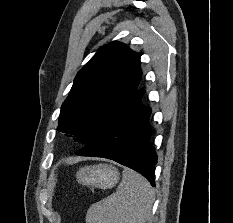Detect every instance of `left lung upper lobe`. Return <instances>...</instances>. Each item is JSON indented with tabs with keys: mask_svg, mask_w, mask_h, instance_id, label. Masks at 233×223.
<instances>
[{
	"mask_svg": "<svg viewBox=\"0 0 233 223\" xmlns=\"http://www.w3.org/2000/svg\"><path fill=\"white\" fill-rule=\"evenodd\" d=\"M140 57L120 42L101 47L76 75L57 130L89 144L137 92L142 75Z\"/></svg>",
	"mask_w": 233,
	"mask_h": 223,
	"instance_id": "obj_1",
	"label": "left lung upper lobe"
}]
</instances>
